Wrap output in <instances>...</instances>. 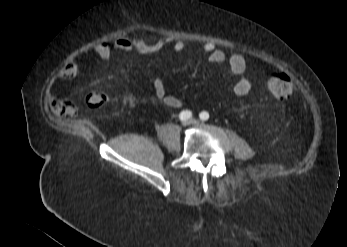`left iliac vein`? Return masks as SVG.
Wrapping results in <instances>:
<instances>
[{"label":"left iliac vein","mask_w":347,"mask_h":247,"mask_svg":"<svg viewBox=\"0 0 347 247\" xmlns=\"http://www.w3.org/2000/svg\"><path fill=\"white\" fill-rule=\"evenodd\" d=\"M190 122H191V124H194V125H198L199 124V122L197 120H195V119H192Z\"/></svg>","instance_id":"left-iliac-vein-1"}]
</instances>
